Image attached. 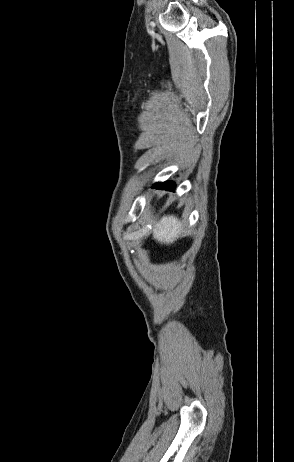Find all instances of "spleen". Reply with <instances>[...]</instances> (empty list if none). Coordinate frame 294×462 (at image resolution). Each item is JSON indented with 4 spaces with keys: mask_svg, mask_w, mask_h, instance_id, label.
<instances>
[{
    "mask_svg": "<svg viewBox=\"0 0 294 462\" xmlns=\"http://www.w3.org/2000/svg\"><path fill=\"white\" fill-rule=\"evenodd\" d=\"M182 224L174 216H165L154 225V239L169 243L180 234Z\"/></svg>",
    "mask_w": 294,
    "mask_h": 462,
    "instance_id": "obj_1",
    "label": "spleen"
}]
</instances>
